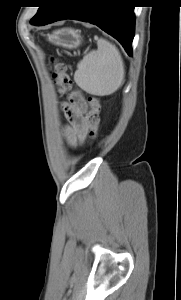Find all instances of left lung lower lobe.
<instances>
[{
    "label": "left lung lower lobe",
    "mask_w": 181,
    "mask_h": 300,
    "mask_svg": "<svg viewBox=\"0 0 181 300\" xmlns=\"http://www.w3.org/2000/svg\"><path fill=\"white\" fill-rule=\"evenodd\" d=\"M130 0H56L46 17L36 26L75 19L97 25L116 38L132 55L135 28L134 5Z\"/></svg>",
    "instance_id": "1"
}]
</instances>
